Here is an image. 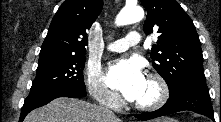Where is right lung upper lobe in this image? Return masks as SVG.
Instances as JSON below:
<instances>
[{"label": "right lung upper lobe", "instance_id": "1", "mask_svg": "<svg viewBox=\"0 0 221 122\" xmlns=\"http://www.w3.org/2000/svg\"><path fill=\"white\" fill-rule=\"evenodd\" d=\"M102 7V0L64 1L50 24L39 59L85 56L87 30L100 14Z\"/></svg>", "mask_w": 221, "mask_h": 122}]
</instances>
